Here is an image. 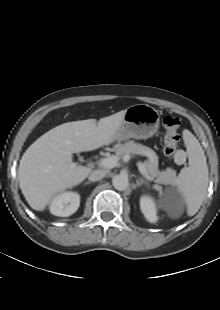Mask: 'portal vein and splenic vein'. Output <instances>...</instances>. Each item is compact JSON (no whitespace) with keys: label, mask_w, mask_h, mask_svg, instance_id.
<instances>
[{"label":"portal vein and splenic vein","mask_w":220,"mask_h":310,"mask_svg":"<svg viewBox=\"0 0 220 310\" xmlns=\"http://www.w3.org/2000/svg\"><path fill=\"white\" fill-rule=\"evenodd\" d=\"M117 162H118V158L117 156H110V157H107V158H104V159H101L99 161V165L103 168H108V169H112L114 168L116 165H117ZM138 169L140 171V173L148 180H152L150 178V176L148 175L144 165L139 162L138 164ZM156 189H160V187H156Z\"/></svg>","instance_id":"portal-vein-and-splenic-vein-1"}]
</instances>
